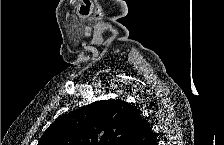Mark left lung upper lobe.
<instances>
[{"label": "left lung upper lobe", "instance_id": "1", "mask_svg": "<svg viewBox=\"0 0 224 145\" xmlns=\"http://www.w3.org/2000/svg\"><path fill=\"white\" fill-rule=\"evenodd\" d=\"M141 120L139 110L127 102L96 101L58 118L38 145H130Z\"/></svg>", "mask_w": 224, "mask_h": 145}]
</instances>
